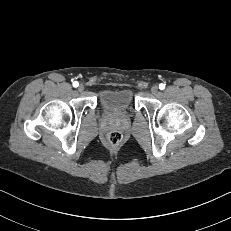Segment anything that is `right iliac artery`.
Wrapping results in <instances>:
<instances>
[{
	"mask_svg": "<svg viewBox=\"0 0 231 231\" xmlns=\"http://www.w3.org/2000/svg\"><path fill=\"white\" fill-rule=\"evenodd\" d=\"M79 83L77 81L73 82L74 87H78Z\"/></svg>",
	"mask_w": 231,
	"mask_h": 231,
	"instance_id": "right-iliac-artery-1",
	"label": "right iliac artery"
}]
</instances>
